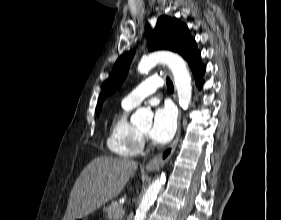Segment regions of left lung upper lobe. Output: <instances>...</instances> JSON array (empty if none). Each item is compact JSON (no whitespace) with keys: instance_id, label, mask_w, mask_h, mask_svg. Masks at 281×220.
I'll return each instance as SVG.
<instances>
[{"instance_id":"5c2ea615","label":"left lung upper lobe","mask_w":281,"mask_h":220,"mask_svg":"<svg viewBox=\"0 0 281 220\" xmlns=\"http://www.w3.org/2000/svg\"><path fill=\"white\" fill-rule=\"evenodd\" d=\"M170 50L182 55L188 62L200 54L196 49V42L189 34V30L184 23L176 18L161 16L156 24L154 32L150 35L148 50ZM134 51H130L120 56L114 68L105 81L97 105V115L102 107L103 99L113 93L124 81L129 64L133 58Z\"/></svg>"}]
</instances>
